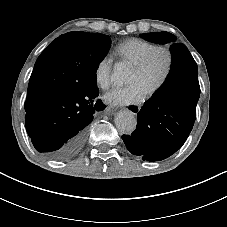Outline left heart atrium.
Returning <instances> with one entry per match:
<instances>
[{"label": "left heart atrium", "instance_id": "obj_1", "mask_svg": "<svg viewBox=\"0 0 227 227\" xmlns=\"http://www.w3.org/2000/svg\"><path fill=\"white\" fill-rule=\"evenodd\" d=\"M147 96V91L138 84H131L125 88L113 89L104 95V101L111 107L136 105Z\"/></svg>", "mask_w": 227, "mask_h": 227}]
</instances>
